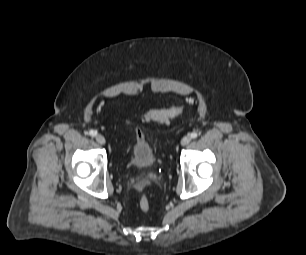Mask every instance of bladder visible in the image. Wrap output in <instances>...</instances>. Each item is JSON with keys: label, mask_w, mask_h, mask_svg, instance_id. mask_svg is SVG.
<instances>
[{"label": "bladder", "mask_w": 306, "mask_h": 255, "mask_svg": "<svg viewBox=\"0 0 306 255\" xmlns=\"http://www.w3.org/2000/svg\"><path fill=\"white\" fill-rule=\"evenodd\" d=\"M153 147L144 139L137 140L129 153V164L138 170H147L156 164Z\"/></svg>", "instance_id": "1"}]
</instances>
